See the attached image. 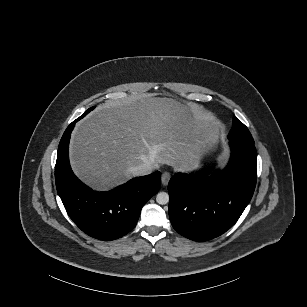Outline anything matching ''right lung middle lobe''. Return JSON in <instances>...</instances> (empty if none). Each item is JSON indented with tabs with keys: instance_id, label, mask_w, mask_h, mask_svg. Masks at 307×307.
I'll list each match as a JSON object with an SVG mask.
<instances>
[{
	"instance_id": "right-lung-middle-lobe-1",
	"label": "right lung middle lobe",
	"mask_w": 307,
	"mask_h": 307,
	"mask_svg": "<svg viewBox=\"0 0 307 307\" xmlns=\"http://www.w3.org/2000/svg\"><path fill=\"white\" fill-rule=\"evenodd\" d=\"M93 109H94V107L88 109V110L85 112V114H87L88 112H90V111L93 110Z\"/></svg>"
}]
</instances>
